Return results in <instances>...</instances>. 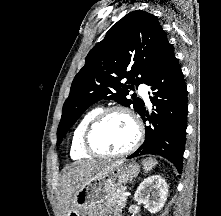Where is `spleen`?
<instances>
[{
    "mask_svg": "<svg viewBox=\"0 0 221 216\" xmlns=\"http://www.w3.org/2000/svg\"><path fill=\"white\" fill-rule=\"evenodd\" d=\"M142 164L144 166L145 172L147 173L148 171L152 170V168L157 164V162L152 158H148L144 159L142 161Z\"/></svg>",
    "mask_w": 221,
    "mask_h": 216,
    "instance_id": "1",
    "label": "spleen"
}]
</instances>
